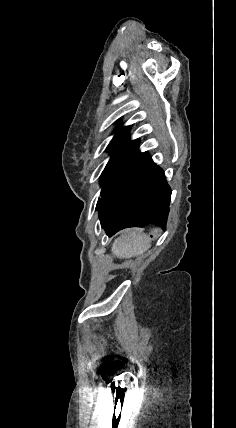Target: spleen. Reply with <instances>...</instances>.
<instances>
[{
    "instance_id": "obj_1",
    "label": "spleen",
    "mask_w": 236,
    "mask_h": 428,
    "mask_svg": "<svg viewBox=\"0 0 236 428\" xmlns=\"http://www.w3.org/2000/svg\"><path fill=\"white\" fill-rule=\"evenodd\" d=\"M151 240L143 230L139 228H131L125 230L121 238H117L112 244L111 252L117 258H134V256H142L150 248Z\"/></svg>"
}]
</instances>
